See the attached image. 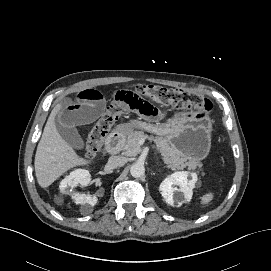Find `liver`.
<instances>
[{"mask_svg": "<svg viewBox=\"0 0 271 271\" xmlns=\"http://www.w3.org/2000/svg\"><path fill=\"white\" fill-rule=\"evenodd\" d=\"M61 109L62 104L59 103L51 111L37 146L34 166L38 184L42 188L50 186L69 169L90 163L80 157L60 135L55 119Z\"/></svg>", "mask_w": 271, "mask_h": 271, "instance_id": "6515ba94", "label": "liver"}]
</instances>
